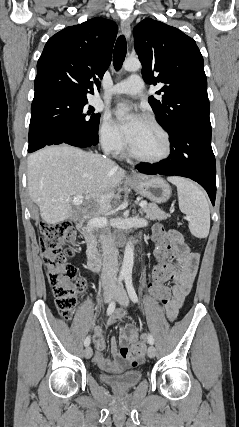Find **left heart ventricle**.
Listing matches in <instances>:
<instances>
[{"instance_id":"b2bd125f","label":"left heart ventricle","mask_w":239,"mask_h":427,"mask_svg":"<svg viewBox=\"0 0 239 427\" xmlns=\"http://www.w3.org/2000/svg\"><path fill=\"white\" fill-rule=\"evenodd\" d=\"M129 145L137 154L149 158L158 157L165 150L162 134L146 120L142 121Z\"/></svg>"}]
</instances>
